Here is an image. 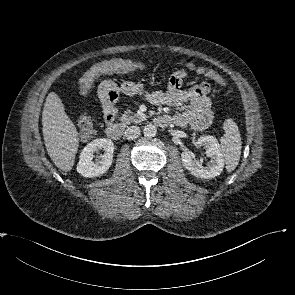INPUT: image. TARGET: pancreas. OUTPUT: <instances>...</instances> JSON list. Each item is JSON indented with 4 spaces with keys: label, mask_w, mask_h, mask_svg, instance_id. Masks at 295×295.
Here are the masks:
<instances>
[{
    "label": "pancreas",
    "mask_w": 295,
    "mask_h": 295,
    "mask_svg": "<svg viewBox=\"0 0 295 295\" xmlns=\"http://www.w3.org/2000/svg\"><path fill=\"white\" fill-rule=\"evenodd\" d=\"M142 119V115L134 114L130 110L125 111L124 114L120 116V120L124 124L138 123Z\"/></svg>",
    "instance_id": "obj_1"
}]
</instances>
